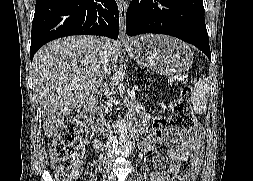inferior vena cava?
Masks as SVG:
<instances>
[{
    "label": "inferior vena cava",
    "mask_w": 253,
    "mask_h": 181,
    "mask_svg": "<svg viewBox=\"0 0 253 181\" xmlns=\"http://www.w3.org/2000/svg\"><path fill=\"white\" fill-rule=\"evenodd\" d=\"M109 45L110 43L108 41H105L103 45V53H102V61L104 63L105 79H106V82H104L103 87L107 93L110 90V88L113 86V82L110 77V74L113 70L110 68V64H109V61H110ZM110 133H114V130H110Z\"/></svg>",
    "instance_id": "obj_1"
}]
</instances>
